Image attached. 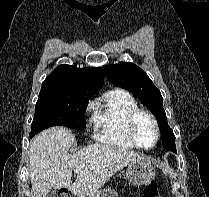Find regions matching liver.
<instances>
[{
    "instance_id": "obj_1",
    "label": "liver",
    "mask_w": 209,
    "mask_h": 197,
    "mask_svg": "<svg viewBox=\"0 0 209 197\" xmlns=\"http://www.w3.org/2000/svg\"><path fill=\"white\" fill-rule=\"evenodd\" d=\"M75 142L71 131L59 126L32 139L29 164L33 197H46L52 188H67L77 197H86L97 192L117 171L141 158L136 152L98 143L68 154ZM73 171L77 174L74 183Z\"/></svg>"
}]
</instances>
